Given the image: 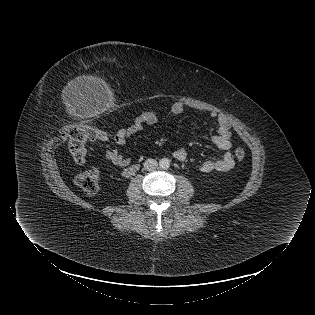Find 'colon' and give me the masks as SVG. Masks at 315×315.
Wrapping results in <instances>:
<instances>
[{"label": "colon", "mask_w": 315, "mask_h": 315, "mask_svg": "<svg viewBox=\"0 0 315 315\" xmlns=\"http://www.w3.org/2000/svg\"><path fill=\"white\" fill-rule=\"evenodd\" d=\"M68 138V150L77 164H83L87 155V142L88 141H105L108 135L92 126H75L66 132ZM235 158L241 162L245 158V151L242 148L235 150ZM76 183L82 190L89 194L94 195L99 189V169L96 166H91L76 176Z\"/></svg>", "instance_id": "5ec220e1"}]
</instances>
